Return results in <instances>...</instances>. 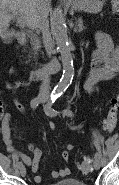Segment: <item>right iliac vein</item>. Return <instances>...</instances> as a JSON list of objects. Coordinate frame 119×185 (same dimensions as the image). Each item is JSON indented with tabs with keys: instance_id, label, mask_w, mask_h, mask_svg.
<instances>
[{
	"instance_id": "1",
	"label": "right iliac vein",
	"mask_w": 119,
	"mask_h": 185,
	"mask_svg": "<svg viewBox=\"0 0 119 185\" xmlns=\"http://www.w3.org/2000/svg\"><path fill=\"white\" fill-rule=\"evenodd\" d=\"M20 174H21V176H25L26 175V168H25V166L24 165H22L20 168Z\"/></svg>"
}]
</instances>
